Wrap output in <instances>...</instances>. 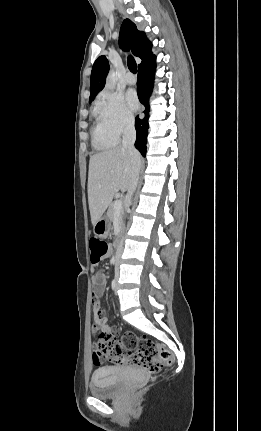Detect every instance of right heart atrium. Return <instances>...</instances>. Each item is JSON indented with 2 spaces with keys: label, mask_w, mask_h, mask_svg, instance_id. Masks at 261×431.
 <instances>
[{
  "label": "right heart atrium",
  "mask_w": 261,
  "mask_h": 431,
  "mask_svg": "<svg viewBox=\"0 0 261 431\" xmlns=\"http://www.w3.org/2000/svg\"><path fill=\"white\" fill-rule=\"evenodd\" d=\"M96 108L107 129L117 137L134 126L133 115L127 110L122 98L114 92L102 91L97 97Z\"/></svg>",
  "instance_id": "right-heart-atrium-1"
}]
</instances>
